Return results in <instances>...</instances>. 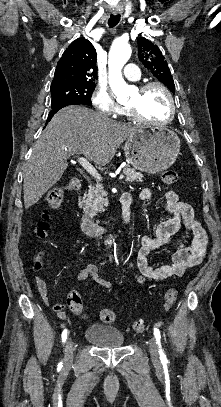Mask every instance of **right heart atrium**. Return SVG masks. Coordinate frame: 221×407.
Masks as SVG:
<instances>
[{"mask_svg": "<svg viewBox=\"0 0 221 407\" xmlns=\"http://www.w3.org/2000/svg\"><path fill=\"white\" fill-rule=\"evenodd\" d=\"M91 101L98 112L108 116H115L121 111V106L106 88L96 87L91 95Z\"/></svg>", "mask_w": 221, "mask_h": 407, "instance_id": "obj_1", "label": "right heart atrium"}]
</instances>
